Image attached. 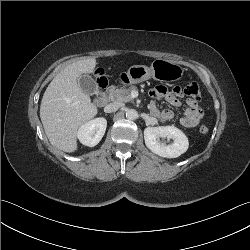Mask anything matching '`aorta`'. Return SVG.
Listing matches in <instances>:
<instances>
[{"label": "aorta", "mask_w": 250, "mask_h": 250, "mask_svg": "<svg viewBox=\"0 0 250 250\" xmlns=\"http://www.w3.org/2000/svg\"><path fill=\"white\" fill-rule=\"evenodd\" d=\"M126 118L129 120H135L138 118V113L135 109H128L126 111Z\"/></svg>", "instance_id": "aorta-1"}]
</instances>
